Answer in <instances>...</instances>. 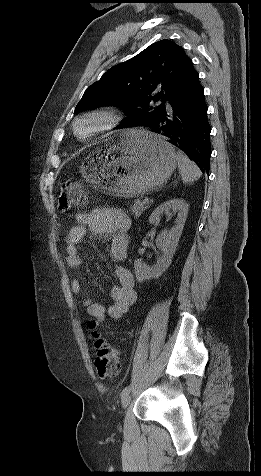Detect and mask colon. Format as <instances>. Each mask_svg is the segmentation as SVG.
<instances>
[{
    "mask_svg": "<svg viewBox=\"0 0 261 476\" xmlns=\"http://www.w3.org/2000/svg\"><path fill=\"white\" fill-rule=\"evenodd\" d=\"M86 195L83 185L77 180L65 181L57 199L59 210L68 211L85 203ZM88 327L96 349L95 367L98 377L102 380L115 378L119 372V358L115 348L101 335L94 320L89 321Z\"/></svg>",
    "mask_w": 261,
    "mask_h": 476,
    "instance_id": "obj_1",
    "label": "colon"
}]
</instances>
